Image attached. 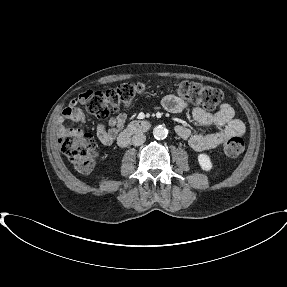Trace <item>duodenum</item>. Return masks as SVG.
I'll list each match as a JSON object with an SVG mask.
<instances>
[{
	"mask_svg": "<svg viewBox=\"0 0 287 287\" xmlns=\"http://www.w3.org/2000/svg\"><path fill=\"white\" fill-rule=\"evenodd\" d=\"M150 129V123L146 120H134L120 133L118 142L121 146L129 143L133 135L141 134Z\"/></svg>",
	"mask_w": 287,
	"mask_h": 287,
	"instance_id": "obj_1",
	"label": "duodenum"
}]
</instances>
